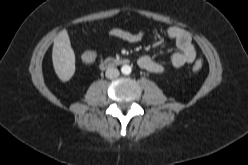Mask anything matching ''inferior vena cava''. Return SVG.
Instances as JSON below:
<instances>
[{"label":"inferior vena cava","instance_id":"602c4592","mask_svg":"<svg viewBox=\"0 0 248 165\" xmlns=\"http://www.w3.org/2000/svg\"><path fill=\"white\" fill-rule=\"evenodd\" d=\"M119 70L117 69V68H114V67H111V68H108L107 70H106V73H105V75H106V77L108 78V79H113V78H116V77H118L119 76Z\"/></svg>","mask_w":248,"mask_h":165}]
</instances>
